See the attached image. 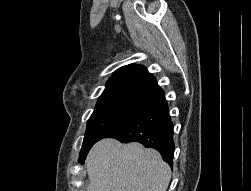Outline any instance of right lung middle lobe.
I'll return each mask as SVG.
<instances>
[{
  "instance_id": "right-lung-middle-lobe-1",
  "label": "right lung middle lobe",
  "mask_w": 251,
  "mask_h": 191,
  "mask_svg": "<svg viewBox=\"0 0 251 191\" xmlns=\"http://www.w3.org/2000/svg\"><path fill=\"white\" fill-rule=\"evenodd\" d=\"M141 109L122 105H106L95 107L87 122V128L79 156L84 163L91 147L99 140L107 138L135 117Z\"/></svg>"
}]
</instances>
